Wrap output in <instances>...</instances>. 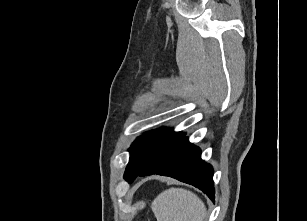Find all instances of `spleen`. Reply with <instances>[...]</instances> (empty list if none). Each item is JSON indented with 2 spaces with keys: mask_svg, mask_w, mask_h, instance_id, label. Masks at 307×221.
Returning <instances> with one entry per match:
<instances>
[{
  "mask_svg": "<svg viewBox=\"0 0 307 221\" xmlns=\"http://www.w3.org/2000/svg\"><path fill=\"white\" fill-rule=\"evenodd\" d=\"M151 209L157 221H203L205 205L193 192L170 188L160 193Z\"/></svg>",
  "mask_w": 307,
  "mask_h": 221,
  "instance_id": "1",
  "label": "spleen"
}]
</instances>
